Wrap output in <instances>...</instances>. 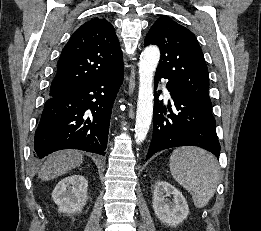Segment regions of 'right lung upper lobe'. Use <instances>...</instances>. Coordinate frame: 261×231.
<instances>
[{"mask_svg": "<svg viewBox=\"0 0 261 231\" xmlns=\"http://www.w3.org/2000/svg\"><path fill=\"white\" fill-rule=\"evenodd\" d=\"M122 65L114 27L105 19L94 18L80 26L63 48L50 96L79 89Z\"/></svg>", "mask_w": 261, "mask_h": 231, "instance_id": "1", "label": "right lung upper lobe"}]
</instances>
